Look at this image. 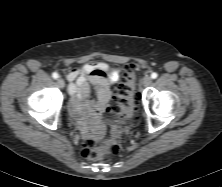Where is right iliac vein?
Masks as SVG:
<instances>
[{
	"label": "right iliac vein",
	"instance_id": "right-iliac-vein-1",
	"mask_svg": "<svg viewBox=\"0 0 222 187\" xmlns=\"http://www.w3.org/2000/svg\"><path fill=\"white\" fill-rule=\"evenodd\" d=\"M57 84H58V86H59L60 88H64V86H65V82H64V80L61 79V78H59V79L57 80Z\"/></svg>",
	"mask_w": 222,
	"mask_h": 187
}]
</instances>
